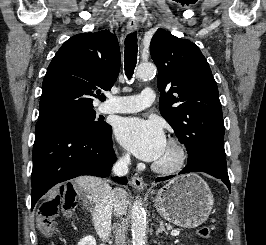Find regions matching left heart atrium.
<instances>
[{
  "instance_id": "left-heart-atrium-1",
  "label": "left heart atrium",
  "mask_w": 266,
  "mask_h": 245,
  "mask_svg": "<svg viewBox=\"0 0 266 245\" xmlns=\"http://www.w3.org/2000/svg\"><path fill=\"white\" fill-rule=\"evenodd\" d=\"M115 134L123 147L147 162H155L167 143L162 126L155 120L121 118Z\"/></svg>"
}]
</instances>
